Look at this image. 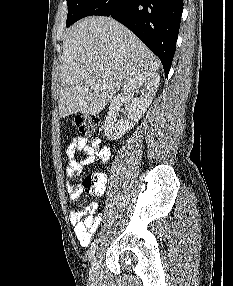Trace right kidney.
Listing matches in <instances>:
<instances>
[{"mask_svg":"<svg viewBox=\"0 0 233 286\" xmlns=\"http://www.w3.org/2000/svg\"><path fill=\"white\" fill-rule=\"evenodd\" d=\"M160 76L155 72H143L129 80L123 86V93L115 96L110 103L104 124L105 135L110 140H117L127 133L145 113L157 91ZM139 93V97H135ZM130 101L127 117L119 118V111L124 102Z\"/></svg>","mask_w":233,"mask_h":286,"instance_id":"1","label":"right kidney"}]
</instances>
